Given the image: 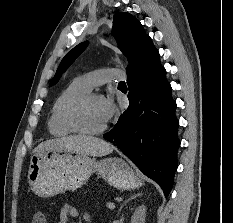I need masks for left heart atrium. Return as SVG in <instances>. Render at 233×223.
Wrapping results in <instances>:
<instances>
[{
	"instance_id": "left-heart-atrium-1",
	"label": "left heart atrium",
	"mask_w": 233,
	"mask_h": 223,
	"mask_svg": "<svg viewBox=\"0 0 233 223\" xmlns=\"http://www.w3.org/2000/svg\"><path fill=\"white\" fill-rule=\"evenodd\" d=\"M99 113L105 124L113 119L116 114V105L112 97L99 98Z\"/></svg>"
}]
</instances>
